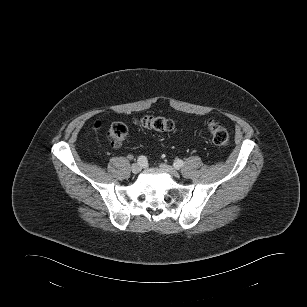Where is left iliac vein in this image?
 Here are the masks:
<instances>
[{
  "instance_id": "4c4485c4",
  "label": "left iliac vein",
  "mask_w": 307,
  "mask_h": 307,
  "mask_svg": "<svg viewBox=\"0 0 307 307\" xmlns=\"http://www.w3.org/2000/svg\"><path fill=\"white\" fill-rule=\"evenodd\" d=\"M160 168L171 175L172 177H178V172L175 168L167 164H160Z\"/></svg>"
}]
</instances>
